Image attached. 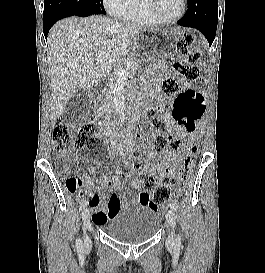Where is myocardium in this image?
Returning a JSON list of instances; mask_svg holds the SVG:
<instances>
[{
	"instance_id": "f54148a6",
	"label": "myocardium",
	"mask_w": 265,
	"mask_h": 273,
	"mask_svg": "<svg viewBox=\"0 0 265 273\" xmlns=\"http://www.w3.org/2000/svg\"><path fill=\"white\" fill-rule=\"evenodd\" d=\"M146 2H147V8H148L149 13L151 14L152 18L158 24H169V23L178 22L179 20H181L185 16V14L187 12V8H188L187 0H182L181 13L173 19H166V18L161 17L157 11V8H156L157 0H146Z\"/></svg>"
}]
</instances>
